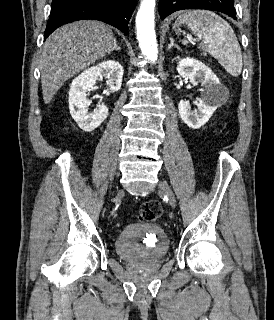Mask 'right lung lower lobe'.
Segmentation results:
<instances>
[{
	"mask_svg": "<svg viewBox=\"0 0 274 320\" xmlns=\"http://www.w3.org/2000/svg\"><path fill=\"white\" fill-rule=\"evenodd\" d=\"M135 3L136 0H52L44 39L64 24L85 19L103 21L126 35Z\"/></svg>",
	"mask_w": 274,
	"mask_h": 320,
	"instance_id": "1",
	"label": "right lung lower lobe"
}]
</instances>
